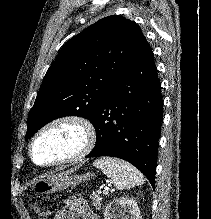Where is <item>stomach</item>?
Here are the masks:
<instances>
[{"mask_svg":"<svg viewBox=\"0 0 211 219\" xmlns=\"http://www.w3.org/2000/svg\"><path fill=\"white\" fill-rule=\"evenodd\" d=\"M93 173H86L81 175H71L70 172H62L54 175L48 179L38 181L34 184L33 190L41 194H50L57 191L76 186L81 182H86L94 178Z\"/></svg>","mask_w":211,"mask_h":219,"instance_id":"stomach-1","label":"stomach"}]
</instances>
